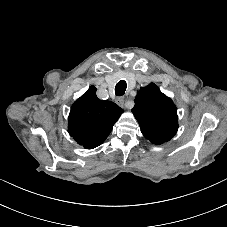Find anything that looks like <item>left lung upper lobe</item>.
<instances>
[{
    "mask_svg": "<svg viewBox=\"0 0 227 227\" xmlns=\"http://www.w3.org/2000/svg\"><path fill=\"white\" fill-rule=\"evenodd\" d=\"M132 112L146 138L150 137L164 143L178 130L175 104L154 83L140 88Z\"/></svg>",
    "mask_w": 227,
    "mask_h": 227,
    "instance_id": "5c2ea615",
    "label": "left lung upper lobe"
}]
</instances>
